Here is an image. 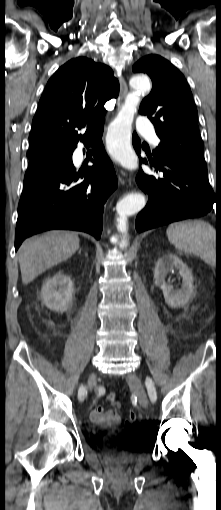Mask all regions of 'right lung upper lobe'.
Segmentation results:
<instances>
[{"label": "right lung upper lobe", "instance_id": "obj_1", "mask_svg": "<svg viewBox=\"0 0 221 510\" xmlns=\"http://www.w3.org/2000/svg\"><path fill=\"white\" fill-rule=\"evenodd\" d=\"M119 94L112 70L86 57L60 67L48 81L33 118L29 151L70 149L91 137L105 121L104 104ZM87 127L84 135L77 129Z\"/></svg>", "mask_w": 221, "mask_h": 510}]
</instances>
